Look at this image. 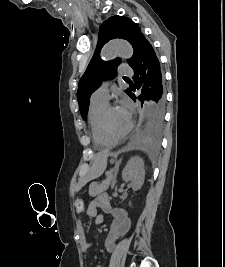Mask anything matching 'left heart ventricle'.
I'll return each instance as SVG.
<instances>
[{
  "label": "left heart ventricle",
  "mask_w": 225,
  "mask_h": 267,
  "mask_svg": "<svg viewBox=\"0 0 225 267\" xmlns=\"http://www.w3.org/2000/svg\"><path fill=\"white\" fill-rule=\"evenodd\" d=\"M129 121L124 118L120 110L116 107L109 111L107 115V125L114 135H120L126 131Z\"/></svg>",
  "instance_id": "1"
}]
</instances>
